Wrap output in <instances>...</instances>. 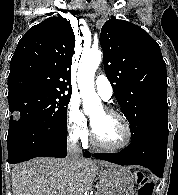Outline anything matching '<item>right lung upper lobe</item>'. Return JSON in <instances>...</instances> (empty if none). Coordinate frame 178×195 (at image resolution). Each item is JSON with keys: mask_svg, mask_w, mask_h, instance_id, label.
Wrapping results in <instances>:
<instances>
[{"mask_svg": "<svg viewBox=\"0 0 178 195\" xmlns=\"http://www.w3.org/2000/svg\"><path fill=\"white\" fill-rule=\"evenodd\" d=\"M74 47L71 24L62 16L50 17L30 28L11 59L8 96L26 90L64 92L71 84Z\"/></svg>", "mask_w": 178, "mask_h": 195, "instance_id": "1", "label": "right lung upper lobe"}]
</instances>
